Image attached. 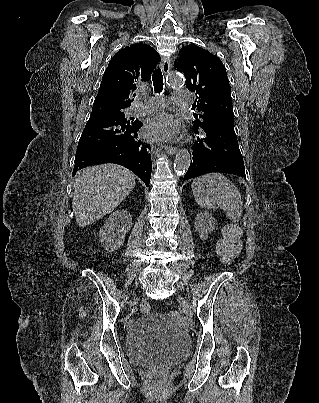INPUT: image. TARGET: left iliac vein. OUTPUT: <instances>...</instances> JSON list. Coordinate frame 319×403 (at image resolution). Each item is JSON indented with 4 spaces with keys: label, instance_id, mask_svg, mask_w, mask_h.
Returning a JSON list of instances; mask_svg holds the SVG:
<instances>
[{
    "label": "left iliac vein",
    "instance_id": "left-iliac-vein-1",
    "mask_svg": "<svg viewBox=\"0 0 319 403\" xmlns=\"http://www.w3.org/2000/svg\"><path fill=\"white\" fill-rule=\"evenodd\" d=\"M178 301L179 304L182 306V308L184 309V312L188 315L191 316L192 311H191V307L189 305V303L181 296H178Z\"/></svg>",
    "mask_w": 319,
    "mask_h": 403
}]
</instances>
